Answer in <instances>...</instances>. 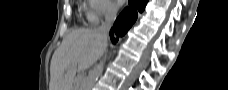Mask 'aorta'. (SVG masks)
Returning <instances> with one entry per match:
<instances>
[{
    "instance_id": "obj_1",
    "label": "aorta",
    "mask_w": 228,
    "mask_h": 90,
    "mask_svg": "<svg viewBox=\"0 0 228 90\" xmlns=\"http://www.w3.org/2000/svg\"><path fill=\"white\" fill-rule=\"evenodd\" d=\"M103 72V64L100 63L82 82L81 90H92L98 78Z\"/></svg>"
}]
</instances>
